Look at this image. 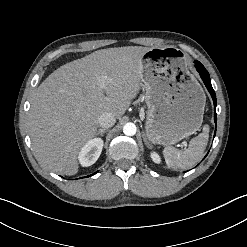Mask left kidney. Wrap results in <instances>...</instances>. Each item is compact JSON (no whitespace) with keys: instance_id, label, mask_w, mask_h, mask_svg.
I'll return each instance as SVG.
<instances>
[{"instance_id":"left-kidney-1","label":"left kidney","mask_w":247,"mask_h":247,"mask_svg":"<svg viewBox=\"0 0 247 247\" xmlns=\"http://www.w3.org/2000/svg\"><path fill=\"white\" fill-rule=\"evenodd\" d=\"M150 156L155 163L159 164L161 162V158L158 153L151 152Z\"/></svg>"}]
</instances>
